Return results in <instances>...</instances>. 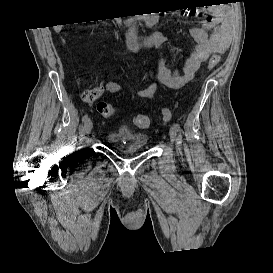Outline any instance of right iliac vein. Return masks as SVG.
I'll use <instances>...</instances> for the list:
<instances>
[{
  "label": "right iliac vein",
  "mask_w": 273,
  "mask_h": 273,
  "mask_svg": "<svg viewBox=\"0 0 273 273\" xmlns=\"http://www.w3.org/2000/svg\"><path fill=\"white\" fill-rule=\"evenodd\" d=\"M92 128H93V123H92V120L91 119H88L86 122H85V125H84V131L86 134H90L91 131H92Z\"/></svg>",
  "instance_id": "obj_1"
}]
</instances>
